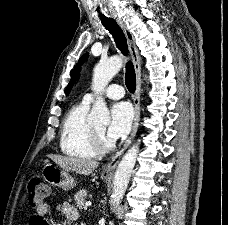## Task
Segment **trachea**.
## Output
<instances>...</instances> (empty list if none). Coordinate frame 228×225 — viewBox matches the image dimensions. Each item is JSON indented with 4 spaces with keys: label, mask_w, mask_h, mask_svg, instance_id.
Masks as SVG:
<instances>
[{
    "label": "trachea",
    "mask_w": 228,
    "mask_h": 225,
    "mask_svg": "<svg viewBox=\"0 0 228 225\" xmlns=\"http://www.w3.org/2000/svg\"><path fill=\"white\" fill-rule=\"evenodd\" d=\"M102 23L104 27L112 34L117 48L120 49L122 54L127 56V41L122 29L117 24V22L113 18H103ZM125 83L129 92L133 93L136 89V74L131 61H128L126 64Z\"/></svg>",
    "instance_id": "1"
}]
</instances>
